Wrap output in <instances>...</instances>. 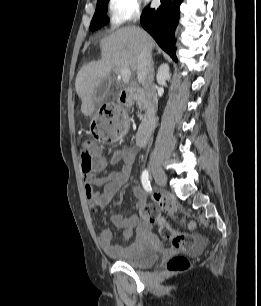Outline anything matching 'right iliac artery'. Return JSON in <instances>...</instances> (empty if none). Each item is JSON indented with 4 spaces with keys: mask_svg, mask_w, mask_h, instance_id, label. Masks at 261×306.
Wrapping results in <instances>:
<instances>
[{
    "mask_svg": "<svg viewBox=\"0 0 261 306\" xmlns=\"http://www.w3.org/2000/svg\"><path fill=\"white\" fill-rule=\"evenodd\" d=\"M141 182H142V185L144 187V189L147 191V192H151L152 188H151V185H150V181H149V173L147 170H144L142 172V175H141Z\"/></svg>",
    "mask_w": 261,
    "mask_h": 306,
    "instance_id": "obj_1",
    "label": "right iliac artery"
}]
</instances>
